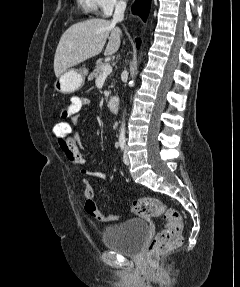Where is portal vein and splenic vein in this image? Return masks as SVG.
Segmentation results:
<instances>
[{"instance_id": "18ae733b", "label": "portal vein and splenic vein", "mask_w": 240, "mask_h": 287, "mask_svg": "<svg viewBox=\"0 0 240 287\" xmlns=\"http://www.w3.org/2000/svg\"><path fill=\"white\" fill-rule=\"evenodd\" d=\"M112 72V67L110 64H106L103 68V72L101 74V76H107L108 74H110Z\"/></svg>"}]
</instances>
